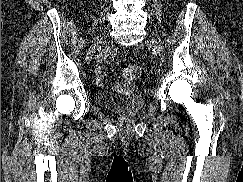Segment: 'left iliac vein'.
Wrapping results in <instances>:
<instances>
[{
	"instance_id": "obj_1",
	"label": "left iliac vein",
	"mask_w": 243,
	"mask_h": 182,
	"mask_svg": "<svg viewBox=\"0 0 243 182\" xmlns=\"http://www.w3.org/2000/svg\"><path fill=\"white\" fill-rule=\"evenodd\" d=\"M148 41L150 42L151 46L156 51V53L157 54H160V52H161V46L158 43V41L155 38H150Z\"/></svg>"
}]
</instances>
